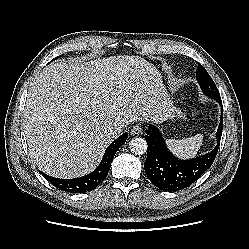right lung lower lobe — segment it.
<instances>
[{
	"label": "right lung lower lobe",
	"instance_id": "right-lung-lower-lobe-1",
	"mask_svg": "<svg viewBox=\"0 0 249 249\" xmlns=\"http://www.w3.org/2000/svg\"><path fill=\"white\" fill-rule=\"evenodd\" d=\"M127 139V133H123L114 140L106 149L99 166L90 174L74 179H59L42 173V175L55 187L72 193H85L95 189L106 178L112 160L123 143Z\"/></svg>",
	"mask_w": 249,
	"mask_h": 249
}]
</instances>
